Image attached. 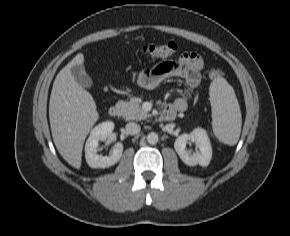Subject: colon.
I'll return each mask as SVG.
<instances>
[{
  "label": "colon",
  "instance_id": "1",
  "mask_svg": "<svg viewBox=\"0 0 290 236\" xmlns=\"http://www.w3.org/2000/svg\"><path fill=\"white\" fill-rule=\"evenodd\" d=\"M177 50L175 42H167L164 44H148L145 45L141 52L142 54L150 59L157 58H168L172 56ZM224 73L217 68H213L209 71V77L211 79H219L223 77Z\"/></svg>",
  "mask_w": 290,
  "mask_h": 236
}]
</instances>
